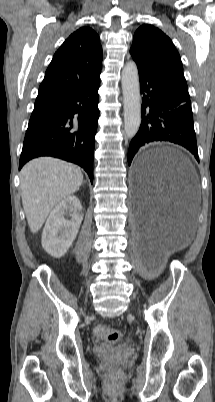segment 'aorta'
Here are the masks:
<instances>
[{"label":"aorta","mask_w":215,"mask_h":402,"mask_svg":"<svg viewBox=\"0 0 215 402\" xmlns=\"http://www.w3.org/2000/svg\"><path fill=\"white\" fill-rule=\"evenodd\" d=\"M122 91L124 98V131L127 138H133L141 124V97L137 65L134 61L125 64L122 70Z\"/></svg>","instance_id":"762f6f07"}]
</instances>
